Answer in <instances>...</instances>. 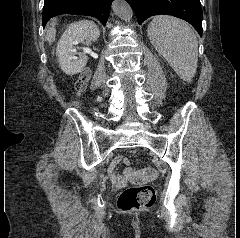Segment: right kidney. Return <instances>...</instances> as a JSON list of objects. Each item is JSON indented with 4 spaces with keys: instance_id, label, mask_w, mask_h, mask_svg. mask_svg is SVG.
Masks as SVG:
<instances>
[{
    "instance_id": "ca27d5eb",
    "label": "right kidney",
    "mask_w": 240,
    "mask_h": 238,
    "mask_svg": "<svg viewBox=\"0 0 240 238\" xmlns=\"http://www.w3.org/2000/svg\"><path fill=\"white\" fill-rule=\"evenodd\" d=\"M100 36V31L92 21L82 20L71 24L62 34L57 48L56 55L62 71L67 75H75L81 72L87 64L85 52L88 48H83L84 53L77 56V46L85 40L95 42Z\"/></svg>"
}]
</instances>
